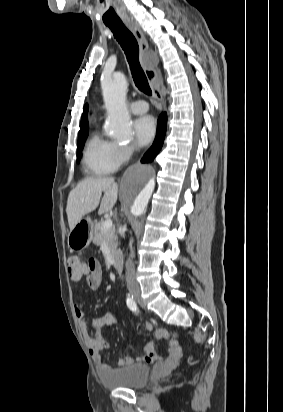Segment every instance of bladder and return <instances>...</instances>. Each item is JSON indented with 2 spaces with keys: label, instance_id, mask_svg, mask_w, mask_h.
Returning a JSON list of instances; mask_svg holds the SVG:
<instances>
[{
  "label": "bladder",
  "instance_id": "1",
  "mask_svg": "<svg viewBox=\"0 0 283 412\" xmlns=\"http://www.w3.org/2000/svg\"><path fill=\"white\" fill-rule=\"evenodd\" d=\"M149 376V366L138 364L109 369L101 374V380L108 388L135 389L145 386Z\"/></svg>",
  "mask_w": 283,
  "mask_h": 412
}]
</instances>
